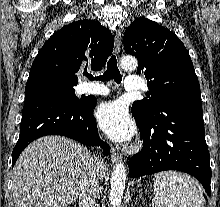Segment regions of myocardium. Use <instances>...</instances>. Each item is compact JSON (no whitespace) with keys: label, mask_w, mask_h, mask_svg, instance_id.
<instances>
[{"label":"myocardium","mask_w":220,"mask_h":207,"mask_svg":"<svg viewBox=\"0 0 220 207\" xmlns=\"http://www.w3.org/2000/svg\"><path fill=\"white\" fill-rule=\"evenodd\" d=\"M139 149H140V144L136 143V144L130 146L128 150L131 152H135V151H138Z\"/></svg>","instance_id":"myocardium-1"}]
</instances>
